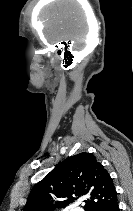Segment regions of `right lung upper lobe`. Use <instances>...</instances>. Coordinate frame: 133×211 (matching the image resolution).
<instances>
[{
    "label": "right lung upper lobe",
    "mask_w": 133,
    "mask_h": 211,
    "mask_svg": "<svg viewBox=\"0 0 133 211\" xmlns=\"http://www.w3.org/2000/svg\"><path fill=\"white\" fill-rule=\"evenodd\" d=\"M86 196L85 211H99L117 202L107 170L90 153H80L48 173L32 189L24 211H55Z\"/></svg>",
    "instance_id": "obj_1"
}]
</instances>
